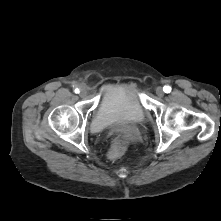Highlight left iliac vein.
<instances>
[{
  "mask_svg": "<svg viewBox=\"0 0 221 221\" xmlns=\"http://www.w3.org/2000/svg\"><path fill=\"white\" fill-rule=\"evenodd\" d=\"M156 94H157V96H159V97H163V96H164L163 88H162V87H157V89H156Z\"/></svg>",
  "mask_w": 221,
  "mask_h": 221,
  "instance_id": "1",
  "label": "left iliac vein"
}]
</instances>
